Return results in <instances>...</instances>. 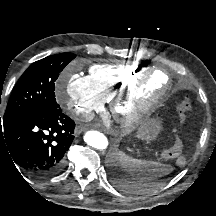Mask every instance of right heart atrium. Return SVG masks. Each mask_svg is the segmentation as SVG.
<instances>
[{"label": "right heart atrium", "instance_id": "obj_1", "mask_svg": "<svg viewBox=\"0 0 216 216\" xmlns=\"http://www.w3.org/2000/svg\"><path fill=\"white\" fill-rule=\"evenodd\" d=\"M56 99L71 116L89 118L101 111L105 100L96 91L89 76L65 70L56 83Z\"/></svg>", "mask_w": 216, "mask_h": 216}]
</instances>
